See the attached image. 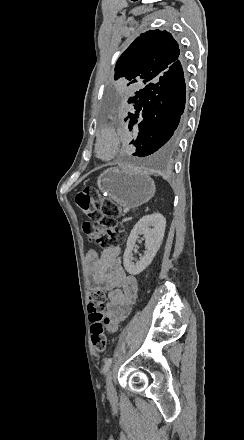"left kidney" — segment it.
<instances>
[{"label": "left kidney", "mask_w": 244, "mask_h": 440, "mask_svg": "<svg viewBox=\"0 0 244 440\" xmlns=\"http://www.w3.org/2000/svg\"><path fill=\"white\" fill-rule=\"evenodd\" d=\"M165 228L166 220L162 214L143 216V218L135 224L127 240V248L123 256V264L126 272H129L132 276H137V274H141V272L151 264L163 242ZM139 234H143V238H146L145 248H147V250L138 262H133L132 252L135 248L136 240L139 238Z\"/></svg>", "instance_id": "5707ae66"}]
</instances>
